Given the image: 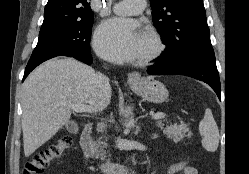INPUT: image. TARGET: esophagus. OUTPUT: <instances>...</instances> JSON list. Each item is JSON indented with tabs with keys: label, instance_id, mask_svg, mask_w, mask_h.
Masks as SVG:
<instances>
[{
	"label": "esophagus",
	"instance_id": "esophagus-1",
	"mask_svg": "<svg viewBox=\"0 0 249 174\" xmlns=\"http://www.w3.org/2000/svg\"><path fill=\"white\" fill-rule=\"evenodd\" d=\"M141 79L139 72H132L128 75L127 81L129 84H137Z\"/></svg>",
	"mask_w": 249,
	"mask_h": 174
}]
</instances>
